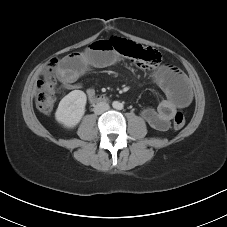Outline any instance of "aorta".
Returning <instances> with one entry per match:
<instances>
[{"label":"aorta","instance_id":"aorta-1","mask_svg":"<svg viewBox=\"0 0 227 227\" xmlns=\"http://www.w3.org/2000/svg\"><path fill=\"white\" fill-rule=\"evenodd\" d=\"M113 108L115 109H122V104L118 101H114L113 104H112Z\"/></svg>","mask_w":227,"mask_h":227}]
</instances>
